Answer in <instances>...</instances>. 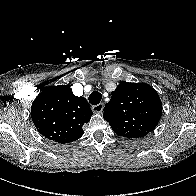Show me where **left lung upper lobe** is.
Listing matches in <instances>:
<instances>
[{"label": "left lung upper lobe", "instance_id": "obj_1", "mask_svg": "<svg viewBox=\"0 0 196 196\" xmlns=\"http://www.w3.org/2000/svg\"><path fill=\"white\" fill-rule=\"evenodd\" d=\"M111 94L103 118L117 135L141 138L155 129L162 103L154 88L144 83L121 82Z\"/></svg>", "mask_w": 196, "mask_h": 196}]
</instances>
